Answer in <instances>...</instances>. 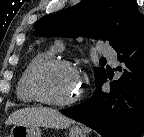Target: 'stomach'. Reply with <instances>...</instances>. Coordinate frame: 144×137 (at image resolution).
I'll use <instances>...</instances> for the list:
<instances>
[{
  "label": "stomach",
  "mask_w": 144,
  "mask_h": 137,
  "mask_svg": "<svg viewBox=\"0 0 144 137\" xmlns=\"http://www.w3.org/2000/svg\"><path fill=\"white\" fill-rule=\"evenodd\" d=\"M10 137H41L38 126L15 125L11 129ZM69 137H86L82 129L73 126L69 129Z\"/></svg>",
  "instance_id": "0dacf381"
}]
</instances>
